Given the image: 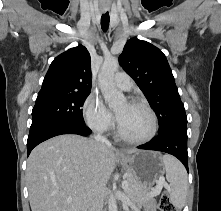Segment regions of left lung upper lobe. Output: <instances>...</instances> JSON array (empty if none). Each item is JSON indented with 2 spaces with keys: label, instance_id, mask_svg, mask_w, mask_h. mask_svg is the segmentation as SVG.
Segmentation results:
<instances>
[{
  "label": "left lung upper lobe",
  "instance_id": "1",
  "mask_svg": "<svg viewBox=\"0 0 221 211\" xmlns=\"http://www.w3.org/2000/svg\"><path fill=\"white\" fill-rule=\"evenodd\" d=\"M123 69L135 80L154 109L159 121V133L180 125H187L184 105L175 80L160 49L132 38L119 57Z\"/></svg>",
  "mask_w": 221,
  "mask_h": 211
}]
</instances>
